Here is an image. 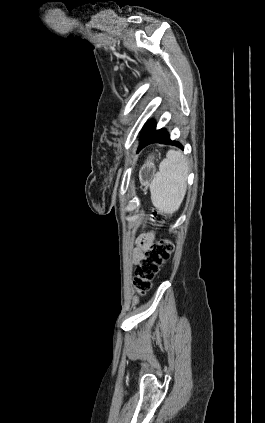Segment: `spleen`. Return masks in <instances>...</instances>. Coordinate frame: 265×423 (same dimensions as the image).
<instances>
[{"label": "spleen", "mask_w": 265, "mask_h": 423, "mask_svg": "<svg viewBox=\"0 0 265 423\" xmlns=\"http://www.w3.org/2000/svg\"><path fill=\"white\" fill-rule=\"evenodd\" d=\"M188 162L181 151L169 150L150 184L151 200L161 213L176 212L186 194Z\"/></svg>", "instance_id": "1"}]
</instances>
